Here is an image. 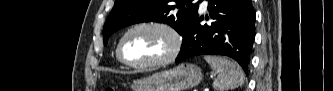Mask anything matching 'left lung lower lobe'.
Segmentation results:
<instances>
[{
  "mask_svg": "<svg viewBox=\"0 0 333 91\" xmlns=\"http://www.w3.org/2000/svg\"><path fill=\"white\" fill-rule=\"evenodd\" d=\"M210 25H201L198 13L184 32L176 62L186 58L215 54L235 59L247 73L255 38V11L251 0H208ZM206 19H209L206 17Z\"/></svg>",
  "mask_w": 333,
  "mask_h": 91,
  "instance_id": "0a47b994",
  "label": "left lung lower lobe"
}]
</instances>
